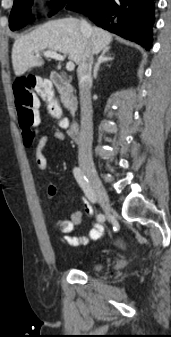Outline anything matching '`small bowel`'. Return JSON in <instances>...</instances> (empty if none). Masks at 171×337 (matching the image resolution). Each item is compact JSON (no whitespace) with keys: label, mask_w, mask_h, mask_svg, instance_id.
<instances>
[{"label":"small bowel","mask_w":171,"mask_h":337,"mask_svg":"<svg viewBox=\"0 0 171 337\" xmlns=\"http://www.w3.org/2000/svg\"><path fill=\"white\" fill-rule=\"evenodd\" d=\"M66 135L64 132L57 130L49 135H43L35 149V162L36 166L40 171H45L48 167V160L45 154V148L48 142L53 139L56 141H64ZM59 185L52 184L48 187L47 195L51 199L57 193ZM92 215L91 206L84 201L83 210L75 211L71 214L70 219H55V229L58 233L64 235V242L70 246L77 247L81 245H86L90 241L98 239L103 233V226L100 223L93 222L91 229L82 236H71L70 233L73 231L75 226L80 225L85 217H90Z\"/></svg>","instance_id":"1"}]
</instances>
